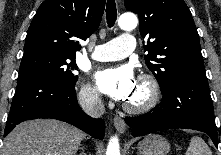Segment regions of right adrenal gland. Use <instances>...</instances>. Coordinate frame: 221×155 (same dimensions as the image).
Returning a JSON list of instances; mask_svg holds the SVG:
<instances>
[{
    "label": "right adrenal gland",
    "instance_id": "1",
    "mask_svg": "<svg viewBox=\"0 0 221 155\" xmlns=\"http://www.w3.org/2000/svg\"><path fill=\"white\" fill-rule=\"evenodd\" d=\"M81 152L79 153V155H87V153H85L84 147H80Z\"/></svg>",
    "mask_w": 221,
    "mask_h": 155
}]
</instances>
